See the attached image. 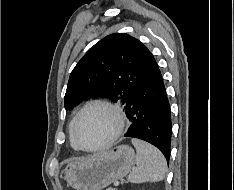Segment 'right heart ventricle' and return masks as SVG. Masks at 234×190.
Segmentation results:
<instances>
[{
    "label": "right heart ventricle",
    "instance_id": "1",
    "mask_svg": "<svg viewBox=\"0 0 234 190\" xmlns=\"http://www.w3.org/2000/svg\"><path fill=\"white\" fill-rule=\"evenodd\" d=\"M74 119L72 120L71 124H70V135H71V129H72V125H73ZM71 144L72 146L77 149L76 145L73 143L72 139H71Z\"/></svg>",
    "mask_w": 234,
    "mask_h": 190
}]
</instances>
